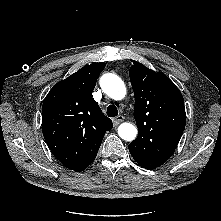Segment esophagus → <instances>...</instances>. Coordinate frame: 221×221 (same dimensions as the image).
<instances>
[{"mask_svg":"<svg viewBox=\"0 0 221 221\" xmlns=\"http://www.w3.org/2000/svg\"><path fill=\"white\" fill-rule=\"evenodd\" d=\"M123 121H124V116L119 115V116H117L116 118L113 119V125L117 126Z\"/></svg>","mask_w":221,"mask_h":221,"instance_id":"esophagus-1","label":"esophagus"}]
</instances>
